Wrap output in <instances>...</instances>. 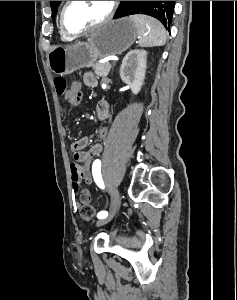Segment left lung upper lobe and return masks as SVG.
<instances>
[{
  "mask_svg": "<svg viewBox=\"0 0 237 300\" xmlns=\"http://www.w3.org/2000/svg\"><path fill=\"white\" fill-rule=\"evenodd\" d=\"M61 1H50L52 18L57 13ZM175 3V1H174ZM174 5H165L164 1H121L119 11L115 18L132 14H147L157 18L168 31H170Z\"/></svg>",
  "mask_w": 237,
  "mask_h": 300,
  "instance_id": "1",
  "label": "left lung upper lobe"
}]
</instances>
